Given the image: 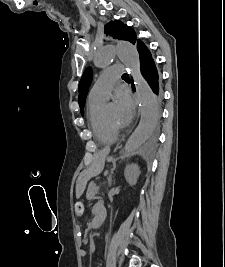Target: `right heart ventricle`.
<instances>
[{
  "mask_svg": "<svg viewBox=\"0 0 225 267\" xmlns=\"http://www.w3.org/2000/svg\"><path fill=\"white\" fill-rule=\"evenodd\" d=\"M103 101L91 100L88 101V121L89 127L101 144H112L117 139V134L111 131L106 125L101 113Z\"/></svg>",
  "mask_w": 225,
  "mask_h": 267,
  "instance_id": "right-heart-ventricle-1",
  "label": "right heart ventricle"
}]
</instances>
